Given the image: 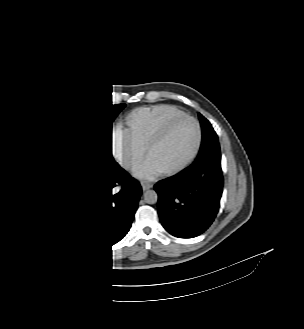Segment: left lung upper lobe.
I'll use <instances>...</instances> for the list:
<instances>
[{
    "label": "left lung upper lobe",
    "instance_id": "1",
    "mask_svg": "<svg viewBox=\"0 0 304 329\" xmlns=\"http://www.w3.org/2000/svg\"><path fill=\"white\" fill-rule=\"evenodd\" d=\"M198 115L202 127V144L198 154L199 157L201 154L207 151L213 144L218 143V136L210 122L200 113H198Z\"/></svg>",
    "mask_w": 304,
    "mask_h": 329
}]
</instances>
